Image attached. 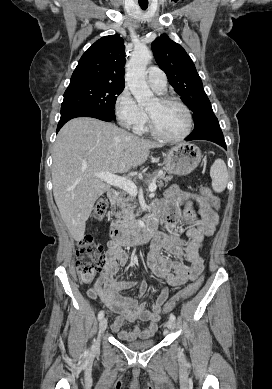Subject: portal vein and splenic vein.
Listing matches in <instances>:
<instances>
[{"instance_id":"obj_1","label":"portal vein and splenic vein","mask_w":272,"mask_h":389,"mask_svg":"<svg viewBox=\"0 0 272 389\" xmlns=\"http://www.w3.org/2000/svg\"><path fill=\"white\" fill-rule=\"evenodd\" d=\"M94 175L102 179L104 182L126 191L131 196L135 197L138 194L137 186L131 180H128L124 177L117 176L109 172H100ZM156 188H157L156 179L154 178L152 182L149 184L148 190L150 192H154Z\"/></svg>"}]
</instances>
